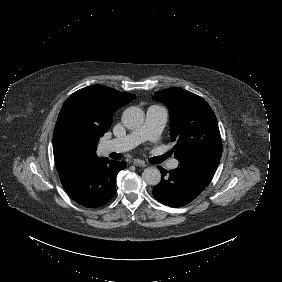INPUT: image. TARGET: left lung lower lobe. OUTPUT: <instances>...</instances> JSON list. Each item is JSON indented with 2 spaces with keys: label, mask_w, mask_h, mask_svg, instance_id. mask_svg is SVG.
I'll use <instances>...</instances> for the list:
<instances>
[{
  "label": "left lung lower lobe",
  "mask_w": 282,
  "mask_h": 282,
  "mask_svg": "<svg viewBox=\"0 0 282 282\" xmlns=\"http://www.w3.org/2000/svg\"><path fill=\"white\" fill-rule=\"evenodd\" d=\"M220 159L196 156L179 161V167L169 171L161 166V181L152 191L162 204L181 207L193 201L211 181Z\"/></svg>",
  "instance_id": "left-lung-lower-lobe-1"
}]
</instances>
